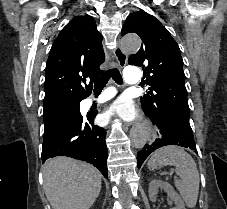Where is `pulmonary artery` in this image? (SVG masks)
<instances>
[{
    "instance_id": "obj_1",
    "label": "pulmonary artery",
    "mask_w": 227,
    "mask_h": 209,
    "mask_svg": "<svg viewBox=\"0 0 227 209\" xmlns=\"http://www.w3.org/2000/svg\"><path fill=\"white\" fill-rule=\"evenodd\" d=\"M123 78H125L126 84L139 83L140 82L139 70H137V66H126V68L124 69ZM109 92L113 93L114 89L110 88ZM109 98H110V95H101L97 98L86 97L85 101L88 102L89 104H93V103L101 104L107 101Z\"/></svg>"
}]
</instances>
